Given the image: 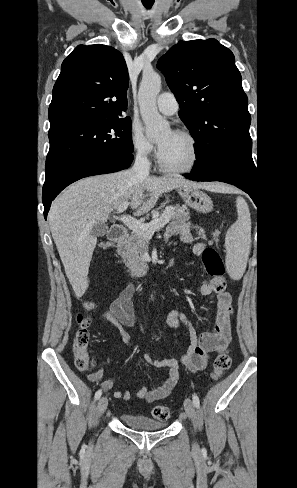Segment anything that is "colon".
<instances>
[{
    "label": "colon",
    "instance_id": "obj_1",
    "mask_svg": "<svg viewBox=\"0 0 297 488\" xmlns=\"http://www.w3.org/2000/svg\"><path fill=\"white\" fill-rule=\"evenodd\" d=\"M100 248L107 250L111 244L103 242ZM203 263L206 272L211 277V283L215 292L223 293L226 290L227 283L224 277L225 267L223 261L214 249H205L203 253ZM93 307L91 302L84 306L85 312L77 316V330L75 332L73 350L75 356V365L81 371H86L92 366V360L88 352L89 344V326L91 324L90 316L87 314ZM231 357L227 349L219 351L212 364V378L219 379L230 367ZM152 416L157 420H167L170 417V410L162 405H157L152 409Z\"/></svg>",
    "mask_w": 297,
    "mask_h": 488
}]
</instances>
